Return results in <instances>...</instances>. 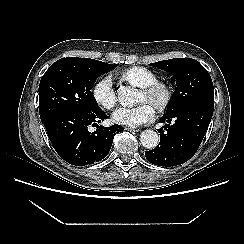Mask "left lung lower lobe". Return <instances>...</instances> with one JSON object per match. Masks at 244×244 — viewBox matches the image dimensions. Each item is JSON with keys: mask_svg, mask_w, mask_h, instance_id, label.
<instances>
[{"mask_svg": "<svg viewBox=\"0 0 244 244\" xmlns=\"http://www.w3.org/2000/svg\"><path fill=\"white\" fill-rule=\"evenodd\" d=\"M214 104L196 102L164 115L161 122L175 123L161 127L159 145L145 152L146 159L159 166H176L188 161L200 146L210 121Z\"/></svg>", "mask_w": 244, "mask_h": 244, "instance_id": "obj_1", "label": "left lung lower lobe"}]
</instances>
